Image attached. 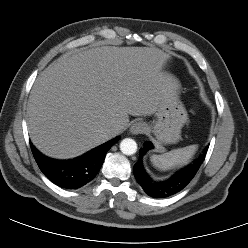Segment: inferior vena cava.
<instances>
[{"mask_svg":"<svg viewBox=\"0 0 248 248\" xmlns=\"http://www.w3.org/2000/svg\"><path fill=\"white\" fill-rule=\"evenodd\" d=\"M118 129L116 128H111L108 129L107 132L109 133V135L115 136L117 134Z\"/></svg>","mask_w":248,"mask_h":248,"instance_id":"inferior-vena-cava-1","label":"inferior vena cava"}]
</instances>
